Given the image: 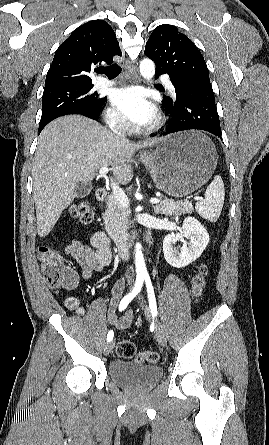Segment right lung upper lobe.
<instances>
[{"label":"right lung upper lobe","mask_w":269,"mask_h":445,"mask_svg":"<svg viewBox=\"0 0 269 445\" xmlns=\"http://www.w3.org/2000/svg\"><path fill=\"white\" fill-rule=\"evenodd\" d=\"M122 52L112 27L104 20L89 21L73 31L56 50L44 90L92 84L89 73L102 63L111 64Z\"/></svg>","instance_id":"obj_1"}]
</instances>
